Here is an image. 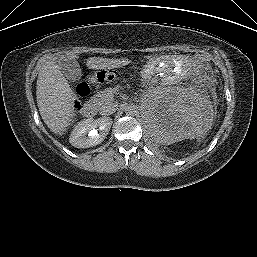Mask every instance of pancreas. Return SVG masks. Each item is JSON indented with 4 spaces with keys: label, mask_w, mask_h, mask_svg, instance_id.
Wrapping results in <instances>:
<instances>
[{
    "label": "pancreas",
    "mask_w": 257,
    "mask_h": 257,
    "mask_svg": "<svg viewBox=\"0 0 257 257\" xmlns=\"http://www.w3.org/2000/svg\"><path fill=\"white\" fill-rule=\"evenodd\" d=\"M115 92V88H107L103 91H99L91 97L90 102L96 108L102 109L107 103L113 100Z\"/></svg>",
    "instance_id": "obj_1"
}]
</instances>
